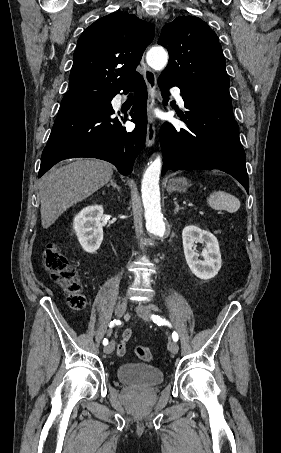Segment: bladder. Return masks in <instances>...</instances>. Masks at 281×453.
Segmentation results:
<instances>
[{"mask_svg": "<svg viewBox=\"0 0 281 453\" xmlns=\"http://www.w3.org/2000/svg\"><path fill=\"white\" fill-rule=\"evenodd\" d=\"M117 377L122 382L141 387L156 386L164 379L160 369L145 364H122L117 369Z\"/></svg>", "mask_w": 281, "mask_h": 453, "instance_id": "obj_1", "label": "bladder"}]
</instances>
